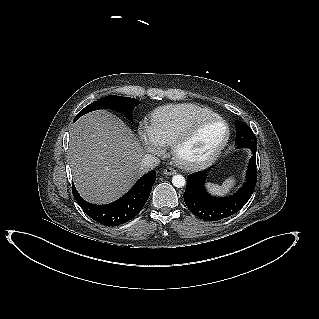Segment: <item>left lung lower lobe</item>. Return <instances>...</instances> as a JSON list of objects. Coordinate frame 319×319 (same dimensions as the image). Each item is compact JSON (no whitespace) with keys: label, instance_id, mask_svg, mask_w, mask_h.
I'll use <instances>...</instances> for the list:
<instances>
[{"label":"left lung lower lobe","instance_id":"obj_1","mask_svg":"<svg viewBox=\"0 0 319 319\" xmlns=\"http://www.w3.org/2000/svg\"><path fill=\"white\" fill-rule=\"evenodd\" d=\"M250 150L253 156L248 165L246 182L232 196L218 198L209 195L204 187L207 171H199L187 176L184 201L195 216L206 221H218L235 214L246 204L257 181V149L250 148Z\"/></svg>","mask_w":319,"mask_h":319}]
</instances>
